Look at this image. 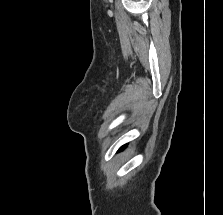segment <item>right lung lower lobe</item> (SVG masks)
Returning <instances> with one entry per match:
<instances>
[{
    "label": "right lung lower lobe",
    "instance_id": "1",
    "mask_svg": "<svg viewBox=\"0 0 223 215\" xmlns=\"http://www.w3.org/2000/svg\"><path fill=\"white\" fill-rule=\"evenodd\" d=\"M126 147V145L122 146L119 151L123 150Z\"/></svg>",
    "mask_w": 223,
    "mask_h": 215
}]
</instances>
